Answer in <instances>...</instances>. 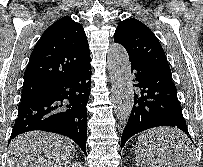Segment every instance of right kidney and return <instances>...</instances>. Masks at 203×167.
<instances>
[{
  "mask_svg": "<svg viewBox=\"0 0 203 167\" xmlns=\"http://www.w3.org/2000/svg\"><path fill=\"white\" fill-rule=\"evenodd\" d=\"M68 167H82V164L80 162H73Z\"/></svg>",
  "mask_w": 203,
  "mask_h": 167,
  "instance_id": "ca27d5eb",
  "label": "right kidney"
}]
</instances>
